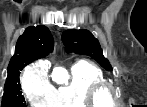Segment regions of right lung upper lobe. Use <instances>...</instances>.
Instances as JSON below:
<instances>
[{"mask_svg": "<svg viewBox=\"0 0 147 107\" xmlns=\"http://www.w3.org/2000/svg\"><path fill=\"white\" fill-rule=\"evenodd\" d=\"M53 45V37L46 26L26 28L17 41L15 55L8 65V76L18 72L24 64L46 57Z\"/></svg>", "mask_w": 147, "mask_h": 107, "instance_id": "obj_1", "label": "right lung upper lobe"}]
</instances>
